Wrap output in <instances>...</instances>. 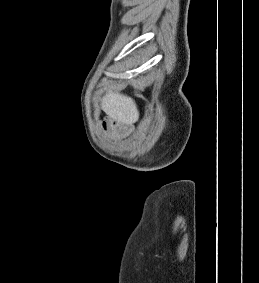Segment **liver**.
<instances>
[{"label": "liver", "mask_w": 259, "mask_h": 283, "mask_svg": "<svg viewBox=\"0 0 259 283\" xmlns=\"http://www.w3.org/2000/svg\"><path fill=\"white\" fill-rule=\"evenodd\" d=\"M102 110L112 119L131 125L139 118L135 101L125 95L108 92L101 100Z\"/></svg>", "instance_id": "1"}]
</instances>
